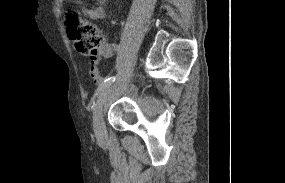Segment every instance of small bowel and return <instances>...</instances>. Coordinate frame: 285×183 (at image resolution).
<instances>
[{
  "mask_svg": "<svg viewBox=\"0 0 285 183\" xmlns=\"http://www.w3.org/2000/svg\"><path fill=\"white\" fill-rule=\"evenodd\" d=\"M107 0H97V4L93 8H83V13L94 21H104L107 19V12L104 8V4ZM119 52V47L116 44H103L98 50L94 58H92V64L89 68V74L96 84L104 82V76L102 70L98 67V62L101 59H109L116 57ZM131 92H135L134 88L130 89Z\"/></svg>",
  "mask_w": 285,
  "mask_h": 183,
  "instance_id": "obj_1",
  "label": "small bowel"
}]
</instances>
